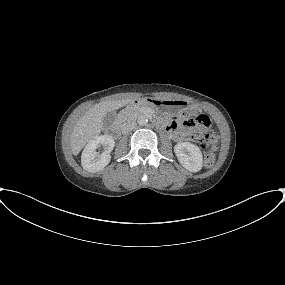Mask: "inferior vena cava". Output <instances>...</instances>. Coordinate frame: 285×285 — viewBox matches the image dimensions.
Segmentation results:
<instances>
[{"mask_svg":"<svg viewBox=\"0 0 285 285\" xmlns=\"http://www.w3.org/2000/svg\"><path fill=\"white\" fill-rule=\"evenodd\" d=\"M136 126H137V123L134 121L127 122V123L123 124V126H122V133L126 134V133L134 130L136 128Z\"/></svg>","mask_w":285,"mask_h":285,"instance_id":"inferior-vena-cava-1","label":"inferior vena cava"}]
</instances>
